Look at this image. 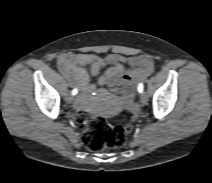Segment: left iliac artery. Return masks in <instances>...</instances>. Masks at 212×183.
I'll return each mask as SVG.
<instances>
[{
	"instance_id": "44dca946",
	"label": "left iliac artery",
	"mask_w": 212,
	"mask_h": 183,
	"mask_svg": "<svg viewBox=\"0 0 212 183\" xmlns=\"http://www.w3.org/2000/svg\"><path fill=\"white\" fill-rule=\"evenodd\" d=\"M138 92H139V93H142V92H143V84H142V83H140V84L138 85Z\"/></svg>"
}]
</instances>
